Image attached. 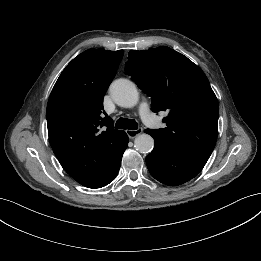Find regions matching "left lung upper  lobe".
Segmentation results:
<instances>
[{"mask_svg": "<svg viewBox=\"0 0 261 261\" xmlns=\"http://www.w3.org/2000/svg\"><path fill=\"white\" fill-rule=\"evenodd\" d=\"M125 71L152 98L166 127L147 129L155 141L183 153L211 155L218 135L219 106L203 71L184 55L161 46L131 50Z\"/></svg>", "mask_w": 261, "mask_h": 261, "instance_id": "5c2ea615", "label": "left lung upper lobe"}]
</instances>
